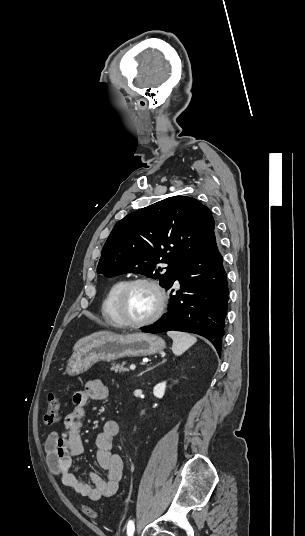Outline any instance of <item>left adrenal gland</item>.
Wrapping results in <instances>:
<instances>
[{"instance_id":"obj_1","label":"left adrenal gland","mask_w":305,"mask_h":536,"mask_svg":"<svg viewBox=\"0 0 305 536\" xmlns=\"http://www.w3.org/2000/svg\"><path fill=\"white\" fill-rule=\"evenodd\" d=\"M161 364H162V362H161ZM142 374H145V372H141V376H142Z\"/></svg>"}]
</instances>
